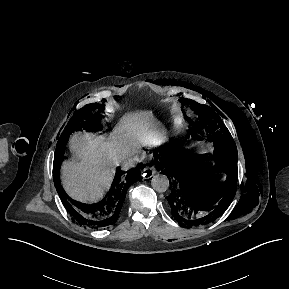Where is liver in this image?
Masks as SVG:
<instances>
[{"label":"liver","instance_id":"1","mask_svg":"<svg viewBox=\"0 0 289 289\" xmlns=\"http://www.w3.org/2000/svg\"><path fill=\"white\" fill-rule=\"evenodd\" d=\"M164 138V131L150 111L125 115L108 139L92 133L76 134L71 139V148L81 161L63 164L62 186L71 198L93 202L102 196L111 180L114 158L119 151Z\"/></svg>","mask_w":289,"mask_h":289}]
</instances>
